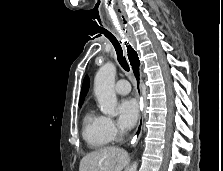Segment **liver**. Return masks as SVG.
Listing matches in <instances>:
<instances>
[{"label": "liver", "mask_w": 223, "mask_h": 171, "mask_svg": "<svg viewBox=\"0 0 223 171\" xmlns=\"http://www.w3.org/2000/svg\"><path fill=\"white\" fill-rule=\"evenodd\" d=\"M128 153L118 147H104L84 156L79 171H122L129 163Z\"/></svg>", "instance_id": "obj_1"}]
</instances>
